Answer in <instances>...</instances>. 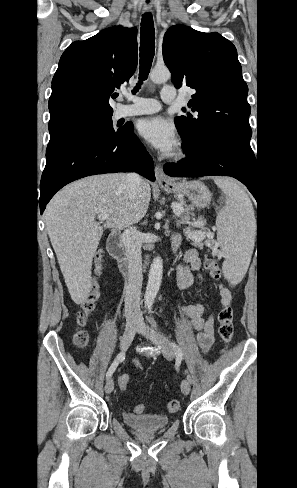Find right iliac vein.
I'll return each instance as SVG.
<instances>
[{
    "label": "right iliac vein",
    "instance_id": "63e3f726",
    "mask_svg": "<svg viewBox=\"0 0 297 488\" xmlns=\"http://www.w3.org/2000/svg\"><path fill=\"white\" fill-rule=\"evenodd\" d=\"M137 326H138V322L134 319L128 320L126 322V327L120 343V347L123 351H125L129 347L131 341L133 340ZM113 389H114V382L112 379H108L105 384V392L111 393Z\"/></svg>",
    "mask_w": 297,
    "mask_h": 488
}]
</instances>
